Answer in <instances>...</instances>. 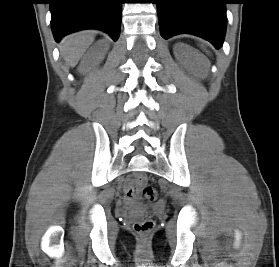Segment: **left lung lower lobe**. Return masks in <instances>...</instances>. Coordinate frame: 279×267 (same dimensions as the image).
I'll use <instances>...</instances> for the list:
<instances>
[{
  "label": "left lung lower lobe",
  "instance_id": "obj_1",
  "mask_svg": "<svg viewBox=\"0 0 279 267\" xmlns=\"http://www.w3.org/2000/svg\"><path fill=\"white\" fill-rule=\"evenodd\" d=\"M227 0H156L161 36L190 33L223 44Z\"/></svg>",
  "mask_w": 279,
  "mask_h": 267
}]
</instances>
